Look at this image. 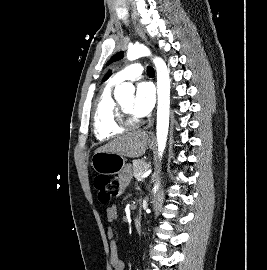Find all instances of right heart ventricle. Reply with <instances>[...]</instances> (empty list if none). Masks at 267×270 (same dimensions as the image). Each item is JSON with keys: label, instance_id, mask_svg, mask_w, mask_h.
<instances>
[{"label": "right heart ventricle", "instance_id": "obj_1", "mask_svg": "<svg viewBox=\"0 0 267 270\" xmlns=\"http://www.w3.org/2000/svg\"><path fill=\"white\" fill-rule=\"evenodd\" d=\"M119 82L111 79L97 96L93 111V129L99 141H107L125 131L117 123V102L113 98L112 90Z\"/></svg>", "mask_w": 267, "mask_h": 270}]
</instances>
